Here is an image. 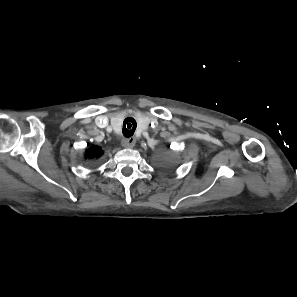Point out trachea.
<instances>
[{
    "mask_svg": "<svg viewBox=\"0 0 297 297\" xmlns=\"http://www.w3.org/2000/svg\"><path fill=\"white\" fill-rule=\"evenodd\" d=\"M136 129V122L134 120L126 119L123 124V135L126 138L133 136Z\"/></svg>",
    "mask_w": 297,
    "mask_h": 297,
    "instance_id": "trachea-1",
    "label": "trachea"
}]
</instances>
